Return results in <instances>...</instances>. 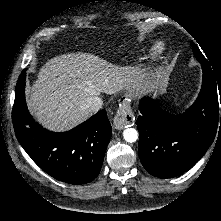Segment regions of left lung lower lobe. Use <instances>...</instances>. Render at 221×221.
Wrapping results in <instances>:
<instances>
[{"instance_id": "1", "label": "left lung lower lobe", "mask_w": 221, "mask_h": 221, "mask_svg": "<svg viewBox=\"0 0 221 221\" xmlns=\"http://www.w3.org/2000/svg\"><path fill=\"white\" fill-rule=\"evenodd\" d=\"M201 66V91L185 113L169 114L148 97L139 103V157L153 176L171 178L188 171L204 155L221 127V84L209 63Z\"/></svg>"}]
</instances>
